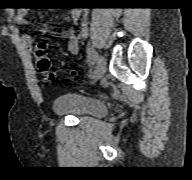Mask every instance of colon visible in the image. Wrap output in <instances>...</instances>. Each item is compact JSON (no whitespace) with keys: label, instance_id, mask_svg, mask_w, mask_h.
Masks as SVG:
<instances>
[{"label":"colon","instance_id":"obj_1","mask_svg":"<svg viewBox=\"0 0 192 180\" xmlns=\"http://www.w3.org/2000/svg\"><path fill=\"white\" fill-rule=\"evenodd\" d=\"M36 66L37 69L48 79L54 80V72L52 71V64L46 54V44L38 42L35 46Z\"/></svg>","mask_w":192,"mask_h":180}]
</instances>
